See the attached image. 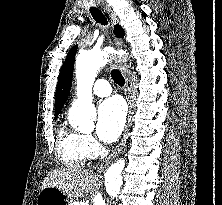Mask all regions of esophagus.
Segmentation results:
<instances>
[{
    "label": "esophagus",
    "mask_w": 222,
    "mask_h": 205,
    "mask_svg": "<svg viewBox=\"0 0 222 205\" xmlns=\"http://www.w3.org/2000/svg\"><path fill=\"white\" fill-rule=\"evenodd\" d=\"M104 10L108 13V15L111 19L112 27H114L118 23V18L116 17L115 13L109 7H105ZM113 43H114L115 47H117V48L121 47V45H122V42L115 37L113 38ZM116 66L123 73L124 78H125V82H126V99H127L128 108H129L128 118H127V123H126L125 129H124V132H123L121 142L118 144V146L115 148V150L110 154V156L101 163V165L98 168V171L104 170L112 162V160L120 153V151L122 150L123 146L126 143L128 131L130 128L131 114H132V109H133L132 82H131L129 74H128L127 66L125 65V63L121 59L116 60Z\"/></svg>",
    "instance_id": "esophagus-1"
}]
</instances>
